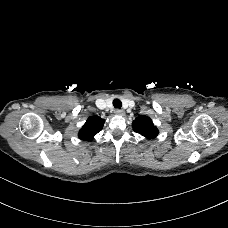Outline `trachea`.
Returning a JSON list of instances; mask_svg holds the SVG:
<instances>
[{
  "label": "trachea",
  "mask_w": 228,
  "mask_h": 228,
  "mask_svg": "<svg viewBox=\"0 0 228 228\" xmlns=\"http://www.w3.org/2000/svg\"><path fill=\"white\" fill-rule=\"evenodd\" d=\"M113 106H114L115 108H121L122 103H121V101H120L119 99H114V100H113Z\"/></svg>",
  "instance_id": "3493384b"
}]
</instances>
